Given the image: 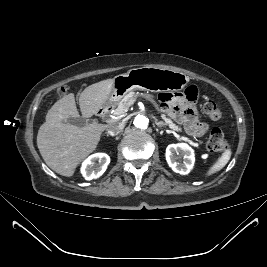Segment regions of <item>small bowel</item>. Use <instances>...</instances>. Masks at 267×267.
<instances>
[{"label": "small bowel", "instance_id": "small-bowel-1", "mask_svg": "<svg viewBox=\"0 0 267 267\" xmlns=\"http://www.w3.org/2000/svg\"><path fill=\"white\" fill-rule=\"evenodd\" d=\"M196 97V87L190 86L183 93H161L159 100L164 110L173 119L183 124L190 135L201 137L208 131V125L198 118L195 107Z\"/></svg>", "mask_w": 267, "mask_h": 267}]
</instances>
